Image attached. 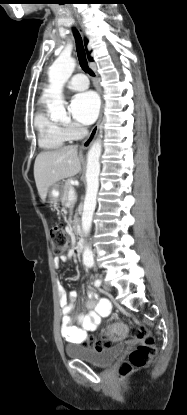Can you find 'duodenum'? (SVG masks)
I'll use <instances>...</instances> for the list:
<instances>
[{
	"label": "duodenum",
	"mask_w": 187,
	"mask_h": 415,
	"mask_svg": "<svg viewBox=\"0 0 187 415\" xmlns=\"http://www.w3.org/2000/svg\"><path fill=\"white\" fill-rule=\"evenodd\" d=\"M72 233L76 240V251L79 252L82 247V232H81V225L79 221H74L72 227Z\"/></svg>",
	"instance_id": "410a0bca"
}]
</instances>
